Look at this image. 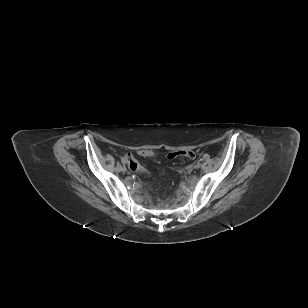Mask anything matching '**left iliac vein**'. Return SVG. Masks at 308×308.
<instances>
[{
    "mask_svg": "<svg viewBox=\"0 0 308 308\" xmlns=\"http://www.w3.org/2000/svg\"><path fill=\"white\" fill-rule=\"evenodd\" d=\"M193 167H194L195 169H198V168H200V164H199V163H196Z\"/></svg>",
    "mask_w": 308,
    "mask_h": 308,
    "instance_id": "1",
    "label": "left iliac vein"
}]
</instances>
